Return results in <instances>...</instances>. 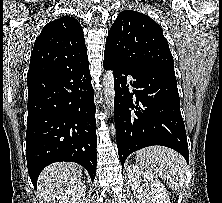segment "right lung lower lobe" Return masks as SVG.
Listing matches in <instances>:
<instances>
[{
	"instance_id": "1",
	"label": "right lung lower lobe",
	"mask_w": 222,
	"mask_h": 203,
	"mask_svg": "<svg viewBox=\"0 0 222 203\" xmlns=\"http://www.w3.org/2000/svg\"><path fill=\"white\" fill-rule=\"evenodd\" d=\"M27 85L26 156L34 187L40 172L58 161L82 165L93 181L97 135L89 65L37 76Z\"/></svg>"
}]
</instances>
